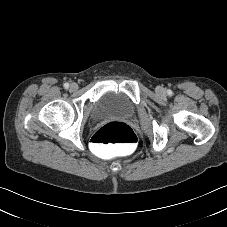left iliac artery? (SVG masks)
<instances>
[{"mask_svg":"<svg viewBox=\"0 0 227 227\" xmlns=\"http://www.w3.org/2000/svg\"><path fill=\"white\" fill-rule=\"evenodd\" d=\"M167 93H168L169 95H172V91H171V90H168Z\"/></svg>","mask_w":227,"mask_h":227,"instance_id":"1","label":"left iliac artery"}]
</instances>
